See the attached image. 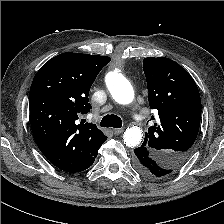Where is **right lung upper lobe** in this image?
<instances>
[{"instance_id":"cb5924a9","label":"right lung upper lobe","mask_w":224,"mask_h":224,"mask_svg":"<svg viewBox=\"0 0 224 224\" xmlns=\"http://www.w3.org/2000/svg\"><path fill=\"white\" fill-rule=\"evenodd\" d=\"M107 56L66 52L36 73L29 94L35 142L45 157L66 172L89 168L107 137L95 124L77 121L90 111L89 90Z\"/></svg>"}]
</instances>
